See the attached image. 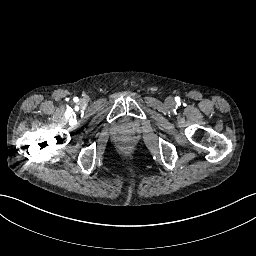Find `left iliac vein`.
Returning a JSON list of instances; mask_svg holds the SVG:
<instances>
[{
    "label": "left iliac vein",
    "instance_id": "left-iliac-vein-1",
    "mask_svg": "<svg viewBox=\"0 0 256 256\" xmlns=\"http://www.w3.org/2000/svg\"><path fill=\"white\" fill-rule=\"evenodd\" d=\"M172 102H173L172 99H169V100L167 101V103H169V104H172Z\"/></svg>",
    "mask_w": 256,
    "mask_h": 256
}]
</instances>
